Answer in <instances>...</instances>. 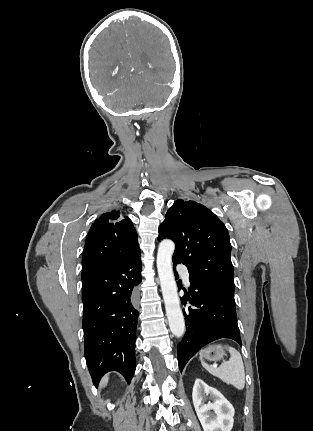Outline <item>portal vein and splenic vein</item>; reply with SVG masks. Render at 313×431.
Instances as JSON below:
<instances>
[{"instance_id": "obj_1", "label": "portal vein and splenic vein", "mask_w": 313, "mask_h": 431, "mask_svg": "<svg viewBox=\"0 0 313 431\" xmlns=\"http://www.w3.org/2000/svg\"><path fill=\"white\" fill-rule=\"evenodd\" d=\"M214 367L216 368V367H217V365L215 364V365H214Z\"/></svg>"}]
</instances>
